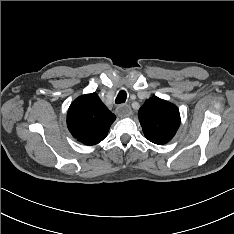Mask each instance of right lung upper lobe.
Here are the masks:
<instances>
[{
  "instance_id": "cb5924a9",
  "label": "right lung upper lobe",
  "mask_w": 234,
  "mask_h": 234,
  "mask_svg": "<svg viewBox=\"0 0 234 234\" xmlns=\"http://www.w3.org/2000/svg\"><path fill=\"white\" fill-rule=\"evenodd\" d=\"M116 116L102 103L96 93L75 99L67 113V126L75 139L85 145L103 140Z\"/></svg>"
}]
</instances>
